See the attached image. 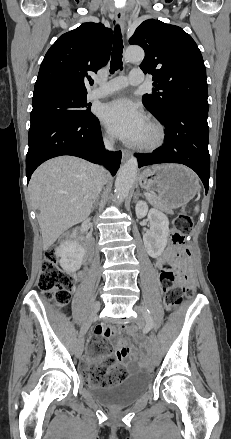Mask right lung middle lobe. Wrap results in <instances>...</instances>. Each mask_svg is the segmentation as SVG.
Instances as JSON below:
<instances>
[{
	"mask_svg": "<svg viewBox=\"0 0 231 439\" xmlns=\"http://www.w3.org/2000/svg\"><path fill=\"white\" fill-rule=\"evenodd\" d=\"M31 126H36L60 117H90L94 116L87 104L86 94L50 93L33 98Z\"/></svg>",
	"mask_w": 231,
	"mask_h": 439,
	"instance_id": "1",
	"label": "right lung middle lobe"
}]
</instances>
